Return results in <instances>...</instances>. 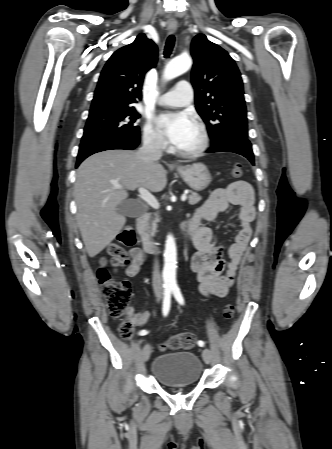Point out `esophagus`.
Wrapping results in <instances>:
<instances>
[{"instance_id": "obj_1", "label": "esophagus", "mask_w": 332, "mask_h": 449, "mask_svg": "<svg viewBox=\"0 0 332 449\" xmlns=\"http://www.w3.org/2000/svg\"><path fill=\"white\" fill-rule=\"evenodd\" d=\"M177 29V25L176 24H168V30L170 32H175Z\"/></svg>"}]
</instances>
